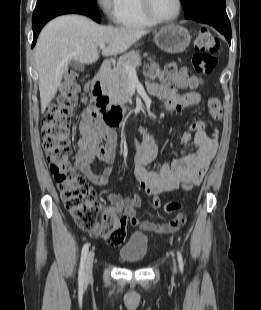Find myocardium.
Listing matches in <instances>:
<instances>
[{"mask_svg": "<svg viewBox=\"0 0 261 310\" xmlns=\"http://www.w3.org/2000/svg\"><path fill=\"white\" fill-rule=\"evenodd\" d=\"M140 3H141V8L145 16L155 24H169V23L176 21L179 18L182 8H183L182 0H177V11L175 15L172 16L171 18L161 19V18H158L153 13L152 8H151V0H140Z\"/></svg>", "mask_w": 261, "mask_h": 310, "instance_id": "myocardium-1", "label": "myocardium"}]
</instances>
